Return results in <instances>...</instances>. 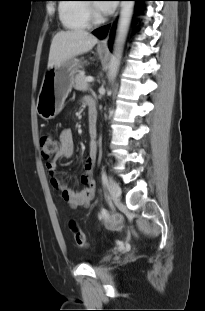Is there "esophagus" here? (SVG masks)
<instances>
[{"mask_svg":"<svg viewBox=\"0 0 205 311\" xmlns=\"http://www.w3.org/2000/svg\"><path fill=\"white\" fill-rule=\"evenodd\" d=\"M117 15H118V12L115 14L114 20L116 19ZM112 24H113V23H112ZM108 40H109V35H107V36L100 42L99 46H100V47H107V45H108Z\"/></svg>","mask_w":205,"mask_h":311,"instance_id":"1","label":"esophagus"}]
</instances>
